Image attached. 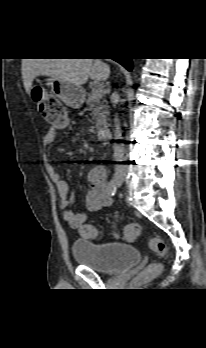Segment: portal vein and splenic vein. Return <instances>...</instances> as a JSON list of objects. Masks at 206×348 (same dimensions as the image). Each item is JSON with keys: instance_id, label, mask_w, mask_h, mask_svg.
Segmentation results:
<instances>
[{"instance_id": "1", "label": "portal vein and splenic vein", "mask_w": 206, "mask_h": 348, "mask_svg": "<svg viewBox=\"0 0 206 348\" xmlns=\"http://www.w3.org/2000/svg\"><path fill=\"white\" fill-rule=\"evenodd\" d=\"M105 91L102 87H94L92 89V96L96 99L101 98L104 95Z\"/></svg>"}]
</instances>
